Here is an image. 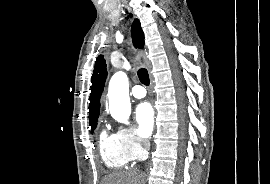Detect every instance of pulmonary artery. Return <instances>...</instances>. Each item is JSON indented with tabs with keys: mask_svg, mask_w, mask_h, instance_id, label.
Here are the masks:
<instances>
[{
	"mask_svg": "<svg viewBox=\"0 0 270 184\" xmlns=\"http://www.w3.org/2000/svg\"><path fill=\"white\" fill-rule=\"evenodd\" d=\"M131 94L138 99L144 98L146 95V90L141 85H136L132 88Z\"/></svg>",
	"mask_w": 270,
	"mask_h": 184,
	"instance_id": "e3ab8cb5",
	"label": "pulmonary artery"
}]
</instances>
